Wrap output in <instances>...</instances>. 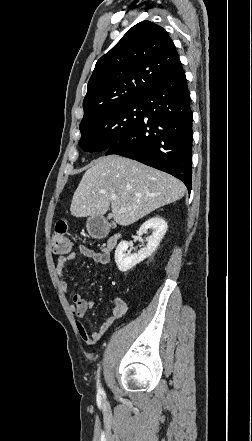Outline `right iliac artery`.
Here are the masks:
<instances>
[{"instance_id":"1","label":"right iliac artery","mask_w":252,"mask_h":441,"mask_svg":"<svg viewBox=\"0 0 252 441\" xmlns=\"http://www.w3.org/2000/svg\"><path fill=\"white\" fill-rule=\"evenodd\" d=\"M98 376H99V370H98ZM97 387H98V393H99V394H102V393H103V390H102L101 387H100L99 380L97 381Z\"/></svg>"}]
</instances>
